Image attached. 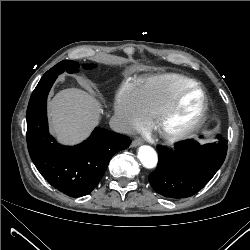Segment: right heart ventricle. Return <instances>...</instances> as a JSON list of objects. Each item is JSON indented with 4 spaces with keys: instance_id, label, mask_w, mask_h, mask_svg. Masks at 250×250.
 Segmentation results:
<instances>
[{
    "instance_id": "1",
    "label": "right heart ventricle",
    "mask_w": 250,
    "mask_h": 250,
    "mask_svg": "<svg viewBox=\"0 0 250 250\" xmlns=\"http://www.w3.org/2000/svg\"><path fill=\"white\" fill-rule=\"evenodd\" d=\"M193 83V79L182 74L162 73L140 80L134 88L151 121L180 89Z\"/></svg>"
}]
</instances>
